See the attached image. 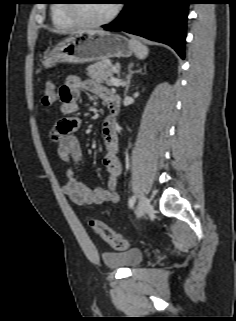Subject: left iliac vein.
Segmentation results:
<instances>
[{
    "instance_id": "left-iliac-vein-1",
    "label": "left iliac vein",
    "mask_w": 236,
    "mask_h": 321,
    "mask_svg": "<svg viewBox=\"0 0 236 321\" xmlns=\"http://www.w3.org/2000/svg\"><path fill=\"white\" fill-rule=\"evenodd\" d=\"M150 209V202L149 199L145 196H142L138 208L136 210V216L137 218H141L145 215L146 212H148Z\"/></svg>"
}]
</instances>
